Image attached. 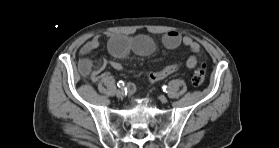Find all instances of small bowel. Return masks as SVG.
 I'll return each instance as SVG.
<instances>
[{
	"mask_svg": "<svg viewBox=\"0 0 279 148\" xmlns=\"http://www.w3.org/2000/svg\"><path fill=\"white\" fill-rule=\"evenodd\" d=\"M162 43L168 49H175L181 45L187 47L191 55L186 61V66L193 69L198 64V57L202 54L201 46L198 42L188 36H182L177 31H169L162 37ZM100 45V37L95 36L87 41L80 49V58L78 62V71L85 79L96 82L99 80L102 70L107 64L117 71H123V66L116 60H112L107 63L106 60L102 59L95 63L92 59V53L98 49ZM108 49L110 53L117 59H121L129 55L131 52L140 56H147L153 53L155 44L153 40L145 35L127 37L118 35L108 36ZM180 64H171L165 66L161 70L153 73L146 74L147 78L151 82L160 81L170 74L177 71ZM129 92L135 91V85L129 83L127 85Z\"/></svg>",
	"mask_w": 279,
	"mask_h": 148,
	"instance_id": "obj_1",
	"label": "small bowel"
}]
</instances>
